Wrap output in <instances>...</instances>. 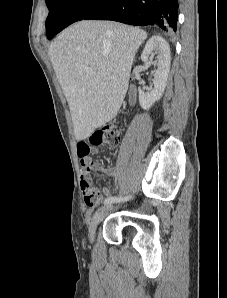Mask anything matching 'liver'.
Wrapping results in <instances>:
<instances>
[{"instance_id":"obj_1","label":"liver","mask_w":227,"mask_h":298,"mask_svg":"<svg viewBox=\"0 0 227 298\" xmlns=\"http://www.w3.org/2000/svg\"><path fill=\"white\" fill-rule=\"evenodd\" d=\"M146 38L137 27L82 20L51 43L50 60L68 101L77 141L116 117L135 54Z\"/></svg>"}]
</instances>
